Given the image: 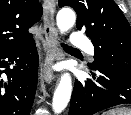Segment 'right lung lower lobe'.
<instances>
[{"label":"right lung lower lobe","mask_w":131,"mask_h":115,"mask_svg":"<svg viewBox=\"0 0 131 115\" xmlns=\"http://www.w3.org/2000/svg\"><path fill=\"white\" fill-rule=\"evenodd\" d=\"M38 52L34 40L19 48L0 53V115H30L38 70ZM13 69L10 65L14 64ZM4 69V70H3Z\"/></svg>","instance_id":"98d812e1"}]
</instances>
